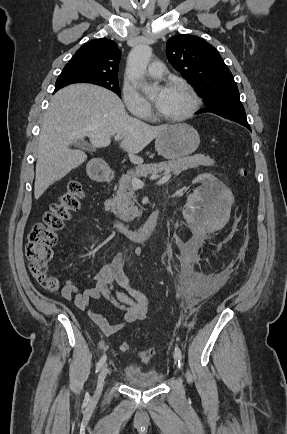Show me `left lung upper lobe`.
<instances>
[{"label": "left lung upper lobe", "instance_id": "1", "mask_svg": "<svg viewBox=\"0 0 287 434\" xmlns=\"http://www.w3.org/2000/svg\"><path fill=\"white\" fill-rule=\"evenodd\" d=\"M166 54L172 66L204 97L208 112L245 113L232 73L217 50L202 38L189 34L171 37Z\"/></svg>", "mask_w": 287, "mask_h": 434}]
</instances>
